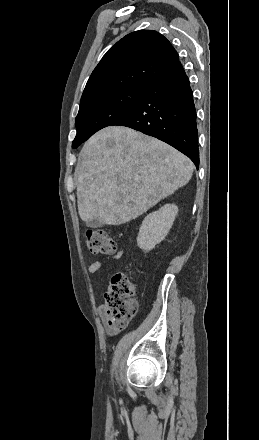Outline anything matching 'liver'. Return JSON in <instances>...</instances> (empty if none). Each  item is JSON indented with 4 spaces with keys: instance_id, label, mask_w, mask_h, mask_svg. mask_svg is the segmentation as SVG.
<instances>
[{
    "instance_id": "1",
    "label": "liver",
    "mask_w": 259,
    "mask_h": 440,
    "mask_svg": "<svg viewBox=\"0 0 259 440\" xmlns=\"http://www.w3.org/2000/svg\"><path fill=\"white\" fill-rule=\"evenodd\" d=\"M193 170L188 157L163 141L128 127H106L79 154L80 218L127 223L186 185Z\"/></svg>"
}]
</instances>
